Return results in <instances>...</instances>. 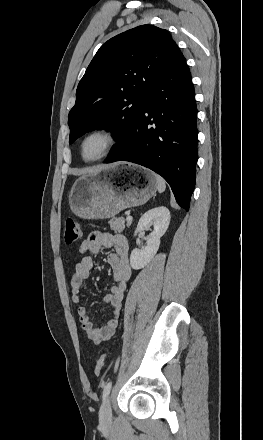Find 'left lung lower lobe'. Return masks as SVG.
I'll return each instance as SVG.
<instances>
[{"mask_svg": "<svg viewBox=\"0 0 263 440\" xmlns=\"http://www.w3.org/2000/svg\"><path fill=\"white\" fill-rule=\"evenodd\" d=\"M197 108L191 74L177 45L137 115L130 143L104 163L129 161L161 175L179 206L189 210L195 187Z\"/></svg>", "mask_w": 263, "mask_h": 440, "instance_id": "0a47b994", "label": "left lung lower lobe"}]
</instances>
